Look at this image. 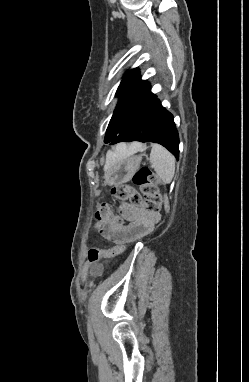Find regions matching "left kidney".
I'll use <instances>...</instances> for the list:
<instances>
[{"instance_id": "1", "label": "left kidney", "mask_w": 249, "mask_h": 382, "mask_svg": "<svg viewBox=\"0 0 249 382\" xmlns=\"http://www.w3.org/2000/svg\"><path fill=\"white\" fill-rule=\"evenodd\" d=\"M90 276L91 277H102L103 276V271L102 270H91L90 271Z\"/></svg>"}]
</instances>
